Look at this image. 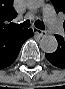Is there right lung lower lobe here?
<instances>
[{
  "mask_svg": "<svg viewBox=\"0 0 65 89\" xmlns=\"http://www.w3.org/2000/svg\"><path fill=\"white\" fill-rule=\"evenodd\" d=\"M31 36L32 29H19L0 35V69L10 66L15 61L23 43Z\"/></svg>",
  "mask_w": 65,
  "mask_h": 89,
  "instance_id": "obj_1",
  "label": "right lung lower lobe"
}]
</instances>
